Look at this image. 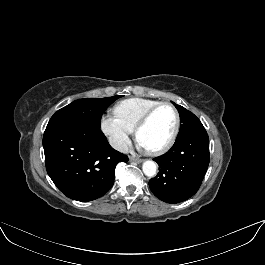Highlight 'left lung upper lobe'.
<instances>
[{"label":"left lung upper lobe","instance_id":"left-lung-upper-lobe-1","mask_svg":"<svg viewBox=\"0 0 265 265\" xmlns=\"http://www.w3.org/2000/svg\"><path fill=\"white\" fill-rule=\"evenodd\" d=\"M172 103L177 108L180 115V121L182 123L177 138L184 137L199 129L204 128L200 120L192 112L188 111L180 105L175 104L174 102Z\"/></svg>","mask_w":265,"mask_h":265}]
</instances>
